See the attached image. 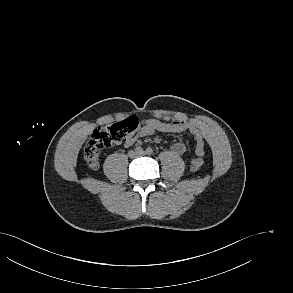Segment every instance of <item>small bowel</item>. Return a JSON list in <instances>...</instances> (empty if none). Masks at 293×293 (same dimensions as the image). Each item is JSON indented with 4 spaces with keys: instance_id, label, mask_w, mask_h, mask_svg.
<instances>
[{
    "instance_id": "c3829d8e",
    "label": "small bowel",
    "mask_w": 293,
    "mask_h": 293,
    "mask_svg": "<svg viewBox=\"0 0 293 293\" xmlns=\"http://www.w3.org/2000/svg\"><path fill=\"white\" fill-rule=\"evenodd\" d=\"M180 134L189 132L194 136L196 141V155L197 158L192 159V163L197 160H202L205 154L204 137L197 126L188 121H175V122H162L154 118H146L141 120L140 128L136 133H131L124 139V145L126 147L132 146L139 137H145L153 135L155 132ZM172 151L175 154L182 155L186 151L185 143L178 141L172 146Z\"/></svg>"
}]
</instances>
